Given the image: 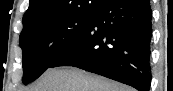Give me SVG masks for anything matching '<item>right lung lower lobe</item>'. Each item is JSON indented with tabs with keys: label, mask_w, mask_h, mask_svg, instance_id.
Instances as JSON below:
<instances>
[{
	"label": "right lung lower lobe",
	"mask_w": 173,
	"mask_h": 91,
	"mask_svg": "<svg viewBox=\"0 0 173 91\" xmlns=\"http://www.w3.org/2000/svg\"><path fill=\"white\" fill-rule=\"evenodd\" d=\"M151 20L149 0H101L83 35L49 68L74 66L147 91Z\"/></svg>",
	"instance_id": "obj_1"
}]
</instances>
